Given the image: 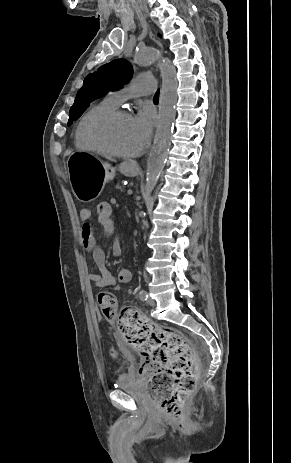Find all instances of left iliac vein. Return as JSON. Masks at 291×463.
Instances as JSON below:
<instances>
[{"label":"left iliac vein","mask_w":291,"mask_h":463,"mask_svg":"<svg viewBox=\"0 0 291 463\" xmlns=\"http://www.w3.org/2000/svg\"><path fill=\"white\" fill-rule=\"evenodd\" d=\"M146 302H147V304L150 305V306H154V305H155V301H154V299H152L151 297H148V299H147Z\"/></svg>","instance_id":"left-iliac-vein-1"}]
</instances>
